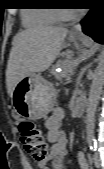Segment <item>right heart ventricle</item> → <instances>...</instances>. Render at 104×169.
Returning a JSON list of instances; mask_svg holds the SVG:
<instances>
[{"instance_id": "e07e8e85", "label": "right heart ventricle", "mask_w": 104, "mask_h": 169, "mask_svg": "<svg viewBox=\"0 0 104 169\" xmlns=\"http://www.w3.org/2000/svg\"><path fill=\"white\" fill-rule=\"evenodd\" d=\"M22 19L24 24L30 27L52 25L58 22L52 9L26 10L22 13Z\"/></svg>"}]
</instances>
